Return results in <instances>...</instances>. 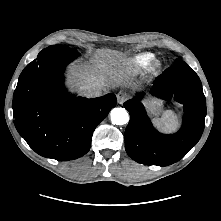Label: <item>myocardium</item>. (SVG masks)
<instances>
[{"label":"myocardium","mask_w":221,"mask_h":221,"mask_svg":"<svg viewBox=\"0 0 221 221\" xmlns=\"http://www.w3.org/2000/svg\"><path fill=\"white\" fill-rule=\"evenodd\" d=\"M159 66H160V64H159L158 62H154V63H153V67H154V68H158Z\"/></svg>","instance_id":"myocardium-1"}]
</instances>
